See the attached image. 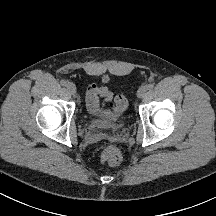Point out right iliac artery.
Returning a JSON list of instances; mask_svg holds the SVG:
<instances>
[{"instance_id":"obj_1","label":"right iliac artery","mask_w":216,"mask_h":216,"mask_svg":"<svg viewBox=\"0 0 216 216\" xmlns=\"http://www.w3.org/2000/svg\"><path fill=\"white\" fill-rule=\"evenodd\" d=\"M60 84H61L62 86H66V85L68 84V81H66V80H61V81H60Z\"/></svg>"}]
</instances>
